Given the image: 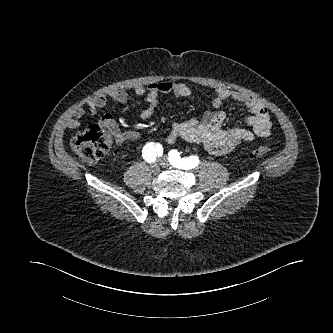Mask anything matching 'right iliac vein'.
I'll use <instances>...</instances> for the list:
<instances>
[{
	"instance_id": "obj_1",
	"label": "right iliac vein",
	"mask_w": 333,
	"mask_h": 333,
	"mask_svg": "<svg viewBox=\"0 0 333 333\" xmlns=\"http://www.w3.org/2000/svg\"><path fill=\"white\" fill-rule=\"evenodd\" d=\"M159 170H160L159 164H154V165L152 166V171H153L154 173L159 172Z\"/></svg>"
}]
</instances>
